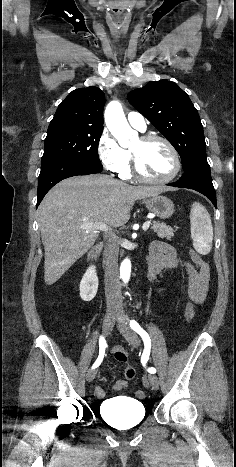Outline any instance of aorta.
I'll return each instance as SVG.
<instances>
[{
	"label": "aorta",
	"mask_w": 236,
	"mask_h": 467,
	"mask_svg": "<svg viewBox=\"0 0 236 467\" xmlns=\"http://www.w3.org/2000/svg\"><path fill=\"white\" fill-rule=\"evenodd\" d=\"M105 123L111 134L118 140L121 146H127L129 139L135 132L129 126L122 105L118 101H111L104 113ZM131 274V261L126 258L120 266V277L124 283H128Z\"/></svg>",
	"instance_id": "762f6f07"
}]
</instances>
